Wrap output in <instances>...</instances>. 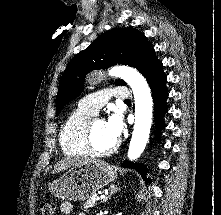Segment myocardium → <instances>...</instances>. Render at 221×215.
<instances>
[{
  "instance_id": "f54148a6",
  "label": "myocardium",
  "mask_w": 221,
  "mask_h": 215,
  "mask_svg": "<svg viewBox=\"0 0 221 215\" xmlns=\"http://www.w3.org/2000/svg\"><path fill=\"white\" fill-rule=\"evenodd\" d=\"M96 120H102L101 118H93L92 120L87 122L86 129H85V135H84V144L87 149V151L95 156H107L112 153H114L118 147H119V142L116 141L114 145L107 149H98L93 142V124Z\"/></svg>"
}]
</instances>
